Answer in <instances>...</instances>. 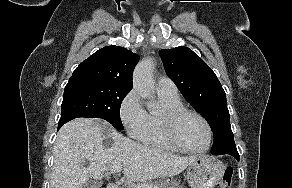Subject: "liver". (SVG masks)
<instances>
[{
	"label": "liver",
	"mask_w": 292,
	"mask_h": 188,
	"mask_svg": "<svg viewBox=\"0 0 292 188\" xmlns=\"http://www.w3.org/2000/svg\"><path fill=\"white\" fill-rule=\"evenodd\" d=\"M112 138L106 148L103 141ZM88 160L89 165L83 166ZM197 160L139 144L118 133L103 120L77 118L61 127L54 144L51 188H84L90 178L102 179L112 167L124 168L133 182L171 177Z\"/></svg>",
	"instance_id": "obj_1"
}]
</instances>
